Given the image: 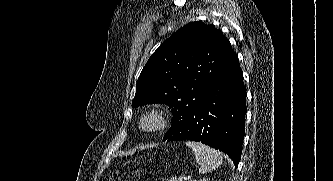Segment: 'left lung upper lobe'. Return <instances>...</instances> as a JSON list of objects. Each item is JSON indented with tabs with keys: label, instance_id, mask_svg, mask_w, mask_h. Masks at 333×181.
Returning <instances> with one entry per match:
<instances>
[{
	"label": "left lung upper lobe",
	"instance_id": "5c2ea615",
	"mask_svg": "<svg viewBox=\"0 0 333 181\" xmlns=\"http://www.w3.org/2000/svg\"><path fill=\"white\" fill-rule=\"evenodd\" d=\"M238 58L223 33L201 21L191 22L162 43L136 84L134 107L163 103L173 119L197 108L209 87Z\"/></svg>",
	"mask_w": 333,
	"mask_h": 181
}]
</instances>
